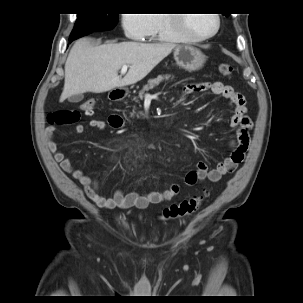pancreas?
Wrapping results in <instances>:
<instances>
[{
    "label": "pancreas",
    "mask_w": 303,
    "mask_h": 303,
    "mask_svg": "<svg viewBox=\"0 0 303 303\" xmlns=\"http://www.w3.org/2000/svg\"><path fill=\"white\" fill-rule=\"evenodd\" d=\"M174 76L165 74V75H158L156 78L149 79L148 83L144 85V87L139 91L138 96L133 97V101L136 103H139V99L142 100L145 92L149 91L150 89H153L154 87L158 86L162 81H167L169 79H173ZM136 113L133 109V112L131 113V116H134Z\"/></svg>",
    "instance_id": "obj_1"
}]
</instances>
